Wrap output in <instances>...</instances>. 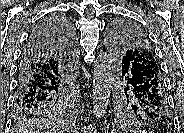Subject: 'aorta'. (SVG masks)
Listing matches in <instances>:
<instances>
[{"label": "aorta", "instance_id": "aorta-1", "mask_svg": "<svg viewBox=\"0 0 184 133\" xmlns=\"http://www.w3.org/2000/svg\"><path fill=\"white\" fill-rule=\"evenodd\" d=\"M113 64L110 55L100 53L94 64L93 72V113L100 119L107 110L111 92Z\"/></svg>", "mask_w": 184, "mask_h": 133}]
</instances>
